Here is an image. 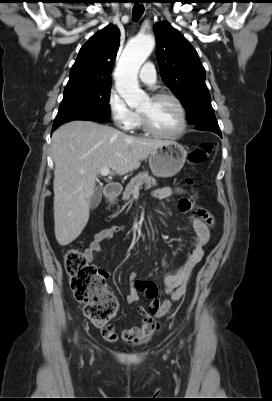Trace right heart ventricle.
<instances>
[{
  "instance_id": "right-heart-ventricle-1",
  "label": "right heart ventricle",
  "mask_w": 272,
  "mask_h": 401,
  "mask_svg": "<svg viewBox=\"0 0 272 401\" xmlns=\"http://www.w3.org/2000/svg\"><path fill=\"white\" fill-rule=\"evenodd\" d=\"M139 127H140V118L139 115L137 114L133 128H139Z\"/></svg>"
}]
</instances>
